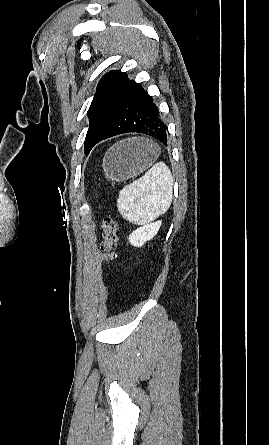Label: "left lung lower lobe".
Instances as JSON below:
<instances>
[{
  "instance_id": "obj_1",
  "label": "left lung lower lobe",
  "mask_w": 269,
  "mask_h": 445,
  "mask_svg": "<svg viewBox=\"0 0 269 445\" xmlns=\"http://www.w3.org/2000/svg\"><path fill=\"white\" fill-rule=\"evenodd\" d=\"M128 132L143 133L167 146V126L153 98L133 80H129L105 126L95 138L100 141Z\"/></svg>"
}]
</instances>
